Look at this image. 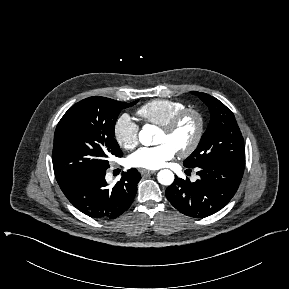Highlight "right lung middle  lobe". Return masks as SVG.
<instances>
[{
  "label": "right lung middle lobe",
  "mask_w": 289,
  "mask_h": 289,
  "mask_svg": "<svg viewBox=\"0 0 289 289\" xmlns=\"http://www.w3.org/2000/svg\"><path fill=\"white\" fill-rule=\"evenodd\" d=\"M137 102L89 97L64 114L55 130L52 153L61 189L81 177L109 168V156L122 157L114 138L115 123L122 109Z\"/></svg>",
  "instance_id": "1"
}]
</instances>
